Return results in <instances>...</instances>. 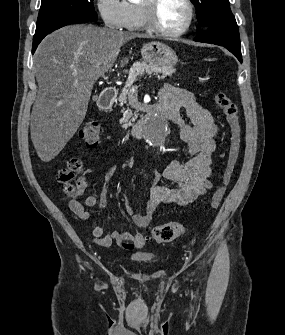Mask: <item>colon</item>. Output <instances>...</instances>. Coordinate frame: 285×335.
I'll return each mask as SVG.
<instances>
[{
  "instance_id": "5ec220e1",
  "label": "colon",
  "mask_w": 285,
  "mask_h": 335,
  "mask_svg": "<svg viewBox=\"0 0 285 335\" xmlns=\"http://www.w3.org/2000/svg\"><path fill=\"white\" fill-rule=\"evenodd\" d=\"M214 101L226 119L230 136L226 167L222 175L221 183L215 190L210 202V208L212 210L218 209L224 198L226 187L231 179L241 147V125L238 106L224 92H216L214 94ZM101 131V123L97 120H90L79 129V137L84 141L87 147L94 148L99 143ZM80 169V160L74 158L58 173L60 182L65 185L67 193L71 196L81 194L87 187L86 182L78 175ZM185 231L186 228L182 223L170 222L152 228L150 230V238L157 243H166L182 236ZM120 245L127 250H131L135 247L134 243L127 239L121 240Z\"/></svg>"
}]
</instances>
